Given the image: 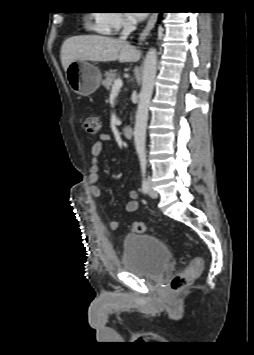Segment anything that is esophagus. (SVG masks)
Here are the masks:
<instances>
[{"instance_id":"34e87169","label":"esophagus","mask_w":254,"mask_h":355,"mask_svg":"<svg viewBox=\"0 0 254 355\" xmlns=\"http://www.w3.org/2000/svg\"><path fill=\"white\" fill-rule=\"evenodd\" d=\"M157 13H152L149 20L147 21V24L145 26V28L143 29V31L141 32L140 36H139V41H143L146 39V37L148 36V34L150 33V31L153 29L156 20H157Z\"/></svg>"}]
</instances>
